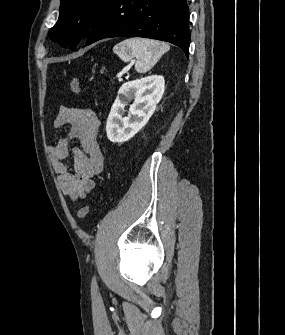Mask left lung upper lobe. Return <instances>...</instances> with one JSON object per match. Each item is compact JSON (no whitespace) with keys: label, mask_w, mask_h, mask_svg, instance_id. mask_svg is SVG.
<instances>
[{"label":"left lung upper lobe","mask_w":285,"mask_h":335,"mask_svg":"<svg viewBox=\"0 0 285 335\" xmlns=\"http://www.w3.org/2000/svg\"><path fill=\"white\" fill-rule=\"evenodd\" d=\"M111 0H61L60 14L49 36L54 41L75 48L96 23Z\"/></svg>","instance_id":"5c2ea615"}]
</instances>
